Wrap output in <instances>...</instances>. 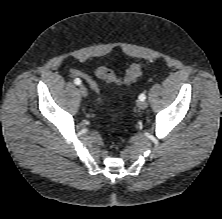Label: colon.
Here are the masks:
<instances>
[{
  "label": "colon",
  "mask_w": 222,
  "mask_h": 219,
  "mask_svg": "<svg viewBox=\"0 0 222 219\" xmlns=\"http://www.w3.org/2000/svg\"><path fill=\"white\" fill-rule=\"evenodd\" d=\"M95 73L98 78L109 82L114 83L119 86L129 85L135 82L142 73V66L140 63H132L127 69L123 77L117 76L111 69L105 66H99L96 68ZM90 87L98 91L97 84H91Z\"/></svg>",
  "instance_id": "5ec220e1"
}]
</instances>
